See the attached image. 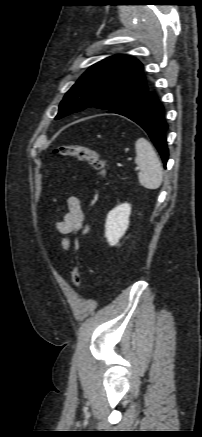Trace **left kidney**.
Returning a JSON list of instances; mask_svg holds the SVG:
<instances>
[{
    "instance_id": "obj_1",
    "label": "left kidney",
    "mask_w": 202,
    "mask_h": 437,
    "mask_svg": "<svg viewBox=\"0 0 202 437\" xmlns=\"http://www.w3.org/2000/svg\"><path fill=\"white\" fill-rule=\"evenodd\" d=\"M131 205L123 203L111 210L105 223V237L110 246H115L129 226Z\"/></svg>"
}]
</instances>
